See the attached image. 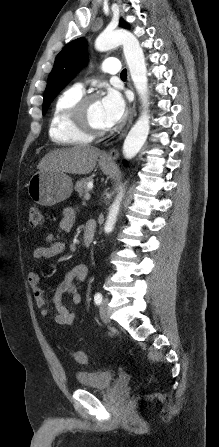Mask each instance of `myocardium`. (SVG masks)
<instances>
[{
  "label": "myocardium",
  "mask_w": 219,
  "mask_h": 447,
  "mask_svg": "<svg viewBox=\"0 0 219 447\" xmlns=\"http://www.w3.org/2000/svg\"><path fill=\"white\" fill-rule=\"evenodd\" d=\"M96 101V94L83 95L74 103L70 113L74 127L90 138L102 137L109 132L108 128L96 127L91 121L90 108Z\"/></svg>",
  "instance_id": "1"
}]
</instances>
